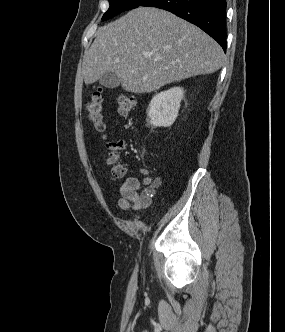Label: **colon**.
I'll list each match as a JSON object with an SVG mask.
<instances>
[{"label":"colon","instance_id":"5ec220e1","mask_svg":"<svg viewBox=\"0 0 285 332\" xmlns=\"http://www.w3.org/2000/svg\"><path fill=\"white\" fill-rule=\"evenodd\" d=\"M117 112L121 117L129 115L136 106L133 96L121 93L117 97ZM87 118L96 131L103 133L105 131V122L103 116V91L101 88L92 92L88 102L86 103ZM110 150L108 160L110 166V175L112 179L119 180L125 177L126 168L118 161V151L123 147L120 141H111L107 144Z\"/></svg>","mask_w":285,"mask_h":332}]
</instances>
